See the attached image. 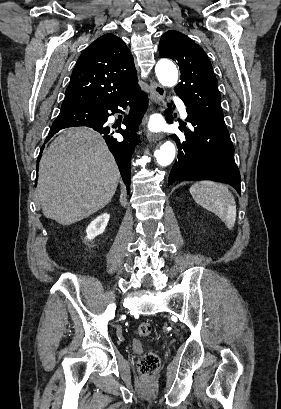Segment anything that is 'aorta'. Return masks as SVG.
<instances>
[{"label": "aorta", "instance_id": "aorta-1", "mask_svg": "<svg viewBox=\"0 0 281 409\" xmlns=\"http://www.w3.org/2000/svg\"><path fill=\"white\" fill-rule=\"evenodd\" d=\"M155 72L158 81L168 87L175 86L178 81V71L176 66L169 60H160ZM175 146L171 142H165L160 149L156 150L154 156L160 166H167L172 163L175 157Z\"/></svg>", "mask_w": 281, "mask_h": 409}]
</instances>
